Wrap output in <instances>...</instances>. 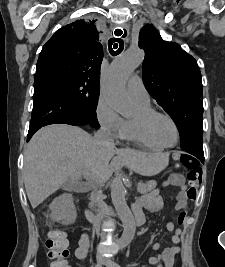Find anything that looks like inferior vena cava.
Instances as JSON below:
<instances>
[{
  "mask_svg": "<svg viewBox=\"0 0 225 267\" xmlns=\"http://www.w3.org/2000/svg\"><path fill=\"white\" fill-rule=\"evenodd\" d=\"M94 140L98 145L102 147H110L114 145V141L110 131L106 130L105 128H101L96 132ZM106 180L107 178L103 171H99L95 176L92 202L94 203V211L96 213L100 212L104 205L101 187Z\"/></svg>",
  "mask_w": 225,
  "mask_h": 267,
  "instance_id": "obj_1",
  "label": "inferior vena cava"
}]
</instances>
